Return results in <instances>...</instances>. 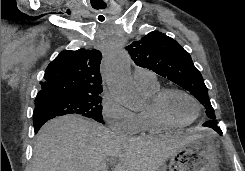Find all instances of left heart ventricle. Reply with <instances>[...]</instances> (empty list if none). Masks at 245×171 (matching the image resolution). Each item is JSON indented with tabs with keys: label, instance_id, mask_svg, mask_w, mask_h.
I'll return each instance as SVG.
<instances>
[{
	"label": "left heart ventricle",
	"instance_id": "obj_1",
	"mask_svg": "<svg viewBox=\"0 0 245 171\" xmlns=\"http://www.w3.org/2000/svg\"><path fill=\"white\" fill-rule=\"evenodd\" d=\"M164 108L167 116L176 123H186L196 114L193 103L184 95L171 93L167 96Z\"/></svg>",
	"mask_w": 245,
	"mask_h": 171
}]
</instances>
